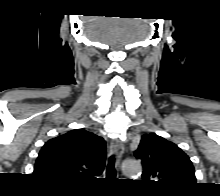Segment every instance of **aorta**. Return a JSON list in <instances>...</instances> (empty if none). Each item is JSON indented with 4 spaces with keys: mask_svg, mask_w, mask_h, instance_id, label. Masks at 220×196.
I'll return each instance as SVG.
<instances>
[{
    "mask_svg": "<svg viewBox=\"0 0 220 196\" xmlns=\"http://www.w3.org/2000/svg\"><path fill=\"white\" fill-rule=\"evenodd\" d=\"M122 170L125 175L133 176L139 174L142 168L139 161L134 159H127L122 164Z\"/></svg>",
    "mask_w": 220,
    "mask_h": 196,
    "instance_id": "762f6f07",
    "label": "aorta"
}]
</instances>
